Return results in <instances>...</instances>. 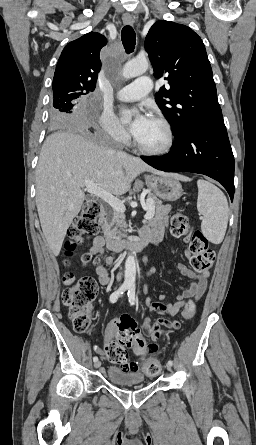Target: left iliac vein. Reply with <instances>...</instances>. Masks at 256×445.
<instances>
[{"label":"left iliac vein","mask_w":256,"mask_h":445,"mask_svg":"<svg viewBox=\"0 0 256 445\" xmlns=\"http://www.w3.org/2000/svg\"><path fill=\"white\" fill-rule=\"evenodd\" d=\"M167 370L170 371L171 370V366L167 365Z\"/></svg>","instance_id":"1"}]
</instances>
